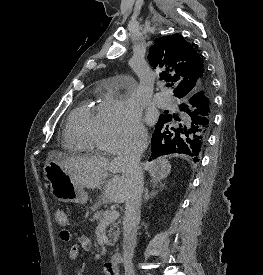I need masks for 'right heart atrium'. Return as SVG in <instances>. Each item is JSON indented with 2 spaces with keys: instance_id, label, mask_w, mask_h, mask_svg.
<instances>
[{
  "instance_id": "obj_1",
  "label": "right heart atrium",
  "mask_w": 263,
  "mask_h": 275,
  "mask_svg": "<svg viewBox=\"0 0 263 275\" xmlns=\"http://www.w3.org/2000/svg\"><path fill=\"white\" fill-rule=\"evenodd\" d=\"M145 139L146 130L132 99L110 93L102 103L100 148L115 154Z\"/></svg>"
}]
</instances>
